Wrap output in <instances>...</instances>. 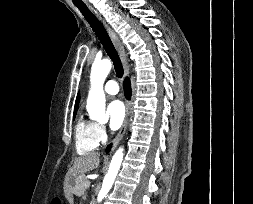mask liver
<instances>
[{"instance_id": "1", "label": "liver", "mask_w": 253, "mask_h": 204, "mask_svg": "<svg viewBox=\"0 0 253 204\" xmlns=\"http://www.w3.org/2000/svg\"><path fill=\"white\" fill-rule=\"evenodd\" d=\"M99 156L100 154L98 152H90L74 159L73 166L67 173L66 184L64 187L67 198H70L71 191L70 185L68 184L69 181L97 168L100 163Z\"/></svg>"}]
</instances>
